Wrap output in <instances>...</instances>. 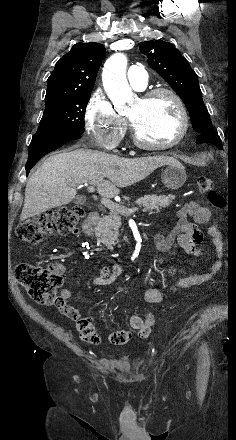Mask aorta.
<instances>
[{
	"instance_id": "obj_1",
	"label": "aorta",
	"mask_w": 236,
	"mask_h": 440,
	"mask_svg": "<svg viewBox=\"0 0 236 440\" xmlns=\"http://www.w3.org/2000/svg\"><path fill=\"white\" fill-rule=\"evenodd\" d=\"M126 68V56L116 53L105 62L102 73L104 89L117 112L125 111L135 100L126 78Z\"/></svg>"
}]
</instances>
